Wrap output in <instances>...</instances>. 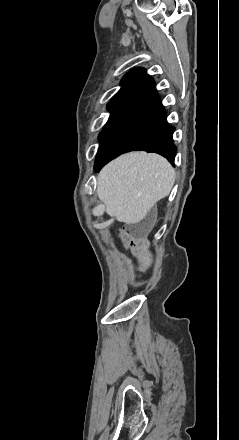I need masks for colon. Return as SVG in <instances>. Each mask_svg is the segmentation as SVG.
<instances>
[{
  "label": "colon",
  "instance_id": "1",
  "mask_svg": "<svg viewBox=\"0 0 239 440\" xmlns=\"http://www.w3.org/2000/svg\"><path fill=\"white\" fill-rule=\"evenodd\" d=\"M125 239L128 242H131L132 246H138L139 245V240H137L136 234L133 233V231L131 229H128L125 232Z\"/></svg>",
  "mask_w": 239,
  "mask_h": 440
}]
</instances>
